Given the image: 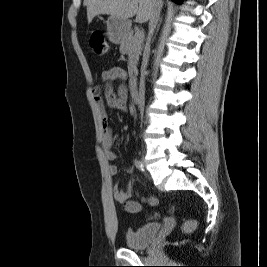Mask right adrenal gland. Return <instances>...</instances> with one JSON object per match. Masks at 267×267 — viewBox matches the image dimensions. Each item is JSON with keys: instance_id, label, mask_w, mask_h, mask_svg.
<instances>
[{"instance_id": "right-adrenal-gland-1", "label": "right adrenal gland", "mask_w": 267, "mask_h": 267, "mask_svg": "<svg viewBox=\"0 0 267 267\" xmlns=\"http://www.w3.org/2000/svg\"><path fill=\"white\" fill-rule=\"evenodd\" d=\"M161 21H162V19L160 20V24H161ZM160 24L158 25V27H157V30L159 29V27H160Z\"/></svg>"}]
</instances>
